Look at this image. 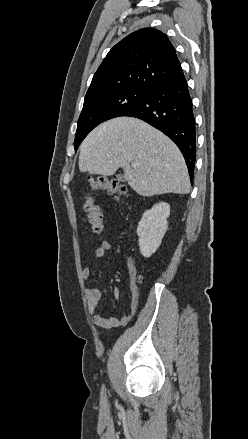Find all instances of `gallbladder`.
<instances>
[{"label":"gallbladder","mask_w":248,"mask_h":439,"mask_svg":"<svg viewBox=\"0 0 248 439\" xmlns=\"http://www.w3.org/2000/svg\"><path fill=\"white\" fill-rule=\"evenodd\" d=\"M117 179H119L121 181H125V177L122 174H118Z\"/></svg>","instance_id":"gallbladder-1"}]
</instances>
